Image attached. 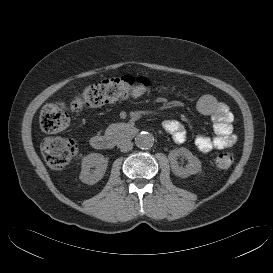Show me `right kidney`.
<instances>
[{"label":"right kidney","mask_w":273,"mask_h":273,"mask_svg":"<svg viewBox=\"0 0 273 273\" xmlns=\"http://www.w3.org/2000/svg\"><path fill=\"white\" fill-rule=\"evenodd\" d=\"M107 159L99 153H90L83 157L79 179L85 184H95L101 180L107 169ZM95 168L93 171L90 168Z\"/></svg>","instance_id":"right-kidney-1"}]
</instances>
